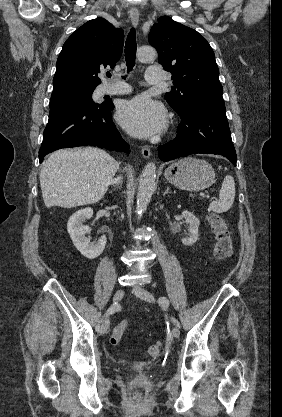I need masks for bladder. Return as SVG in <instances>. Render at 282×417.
Segmentation results:
<instances>
[{
  "label": "bladder",
  "mask_w": 282,
  "mask_h": 417,
  "mask_svg": "<svg viewBox=\"0 0 282 417\" xmlns=\"http://www.w3.org/2000/svg\"><path fill=\"white\" fill-rule=\"evenodd\" d=\"M129 370L135 373H140V374L152 372L151 367L146 362H143V361L132 362L129 366Z\"/></svg>",
  "instance_id": "31cf9c89"
}]
</instances>
